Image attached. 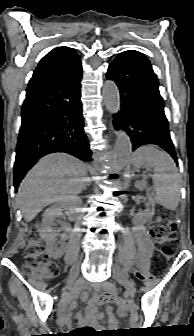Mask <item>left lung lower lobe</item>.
<instances>
[{"instance_id": "0a47b994", "label": "left lung lower lobe", "mask_w": 194, "mask_h": 336, "mask_svg": "<svg viewBox=\"0 0 194 336\" xmlns=\"http://www.w3.org/2000/svg\"><path fill=\"white\" fill-rule=\"evenodd\" d=\"M107 79L120 90L121 111L115 117V128L120 126L127 133L133 151L141 145H159L178 163L159 83L148 59L138 51H124L110 64Z\"/></svg>"}]
</instances>
